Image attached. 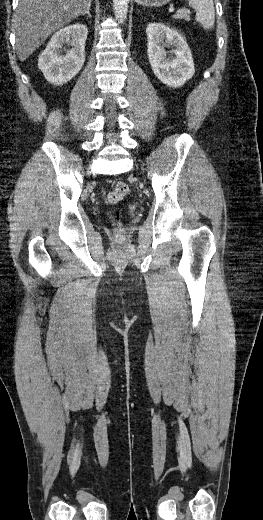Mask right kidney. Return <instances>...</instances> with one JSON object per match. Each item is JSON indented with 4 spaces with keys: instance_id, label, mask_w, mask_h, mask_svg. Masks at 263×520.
I'll list each match as a JSON object with an SVG mask.
<instances>
[{
    "instance_id": "obj_1",
    "label": "right kidney",
    "mask_w": 263,
    "mask_h": 520,
    "mask_svg": "<svg viewBox=\"0 0 263 520\" xmlns=\"http://www.w3.org/2000/svg\"><path fill=\"white\" fill-rule=\"evenodd\" d=\"M87 34V27L76 23L60 29L52 36L38 60V68L48 82L62 85L79 73L85 61ZM65 45L72 48L66 50L63 48Z\"/></svg>"
}]
</instances>
